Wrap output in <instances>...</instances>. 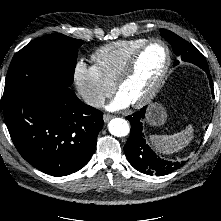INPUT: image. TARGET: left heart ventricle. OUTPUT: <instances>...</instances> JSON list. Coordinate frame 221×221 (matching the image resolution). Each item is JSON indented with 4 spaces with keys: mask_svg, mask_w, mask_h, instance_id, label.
Instances as JSON below:
<instances>
[{
    "mask_svg": "<svg viewBox=\"0 0 221 221\" xmlns=\"http://www.w3.org/2000/svg\"><path fill=\"white\" fill-rule=\"evenodd\" d=\"M166 61L162 45L149 46L140 56L132 76L123 84L120 92L130 103L145 96L158 80Z\"/></svg>",
    "mask_w": 221,
    "mask_h": 221,
    "instance_id": "1",
    "label": "left heart ventricle"
}]
</instances>
